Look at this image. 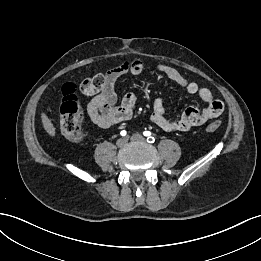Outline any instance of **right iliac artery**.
I'll list each match as a JSON object with an SVG mask.
<instances>
[{
	"label": "right iliac artery",
	"mask_w": 261,
	"mask_h": 261,
	"mask_svg": "<svg viewBox=\"0 0 261 261\" xmlns=\"http://www.w3.org/2000/svg\"><path fill=\"white\" fill-rule=\"evenodd\" d=\"M121 136H126L127 132L125 130L120 132Z\"/></svg>",
	"instance_id": "obj_1"
}]
</instances>
